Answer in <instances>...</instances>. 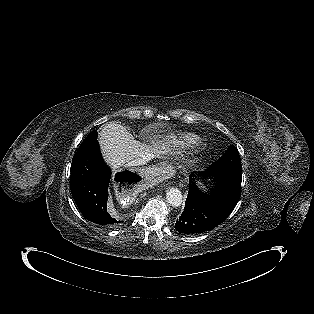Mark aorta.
I'll return each instance as SVG.
<instances>
[{
    "instance_id": "obj_1",
    "label": "aorta",
    "mask_w": 314,
    "mask_h": 314,
    "mask_svg": "<svg viewBox=\"0 0 314 314\" xmlns=\"http://www.w3.org/2000/svg\"><path fill=\"white\" fill-rule=\"evenodd\" d=\"M167 202L172 207H179L182 204V194L178 188L171 187L166 193Z\"/></svg>"
}]
</instances>
